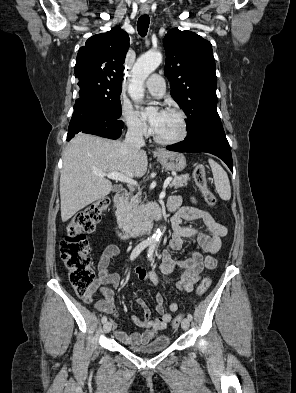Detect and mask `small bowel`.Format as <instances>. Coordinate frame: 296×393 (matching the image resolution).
I'll return each mask as SVG.
<instances>
[{
	"mask_svg": "<svg viewBox=\"0 0 296 393\" xmlns=\"http://www.w3.org/2000/svg\"><path fill=\"white\" fill-rule=\"evenodd\" d=\"M168 210L172 213L171 223L173 226V235L169 240L167 246L162 252V259L159 265L151 270H144L137 268L135 273L142 281L150 282L157 286L159 283L157 271L165 275L173 274L176 269H181L183 272L176 282V287L181 291L191 292L194 286L198 283L201 273L204 269L212 270L217 265L215 254L221 248L222 238L227 234V228L224 224L217 222L213 216L202 209L188 206H181V198L173 197L168 203ZM201 220L206 230L194 228L191 226H182L181 222ZM192 239L197 242L205 255L198 251H193L190 256L182 259L174 258L172 253L178 252L182 249L186 240ZM121 253V248L116 244H110L105 247L97 260V268L99 273V281L97 287L90 295L81 297L84 303L92 302V294L99 290L104 299L97 301L94 306L99 312H105L117 316V310L114 302V292L112 289L104 287L110 284L114 289H117L120 284V277L116 273L108 271L109 262L113 257ZM136 303L142 308L144 318L132 316V322L145 329L143 333L127 332L117 326V324L110 320L111 328L113 329L117 339L125 345H144L151 342L157 333L169 325L172 320V313L176 312L179 305L172 302L169 306V311L164 307V297L157 293L155 296V311L160 315L158 318H152L149 307L143 298H137Z\"/></svg>",
	"mask_w": 296,
	"mask_h": 393,
	"instance_id": "small-bowel-1",
	"label": "small bowel"
}]
</instances>
